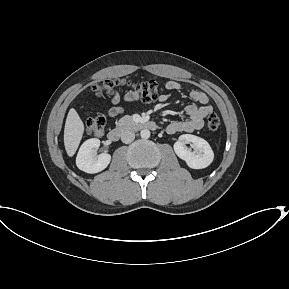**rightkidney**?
I'll list each match as a JSON object with an SVG mask.
<instances>
[{
    "label": "right kidney",
    "mask_w": 289,
    "mask_h": 289,
    "mask_svg": "<svg viewBox=\"0 0 289 289\" xmlns=\"http://www.w3.org/2000/svg\"><path fill=\"white\" fill-rule=\"evenodd\" d=\"M100 146V140L92 138L86 140L80 147L77 157V167L86 173H98L104 170L111 161V155L102 153L95 156L96 150Z\"/></svg>",
    "instance_id": "1"
}]
</instances>
